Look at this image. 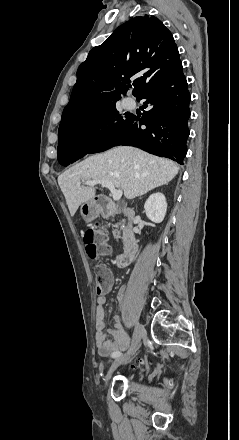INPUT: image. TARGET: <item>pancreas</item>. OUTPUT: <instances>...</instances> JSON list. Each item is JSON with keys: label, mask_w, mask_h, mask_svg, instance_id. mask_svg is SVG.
I'll return each mask as SVG.
<instances>
[{"label": "pancreas", "mask_w": 239, "mask_h": 440, "mask_svg": "<svg viewBox=\"0 0 239 440\" xmlns=\"http://www.w3.org/2000/svg\"><path fill=\"white\" fill-rule=\"evenodd\" d=\"M114 228H118V224H115ZM112 234L115 240H118V238H120V232H118V230H113Z\"/></svg>", "instance_id": "obj_1"}]
</instances>
